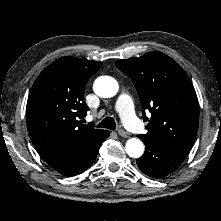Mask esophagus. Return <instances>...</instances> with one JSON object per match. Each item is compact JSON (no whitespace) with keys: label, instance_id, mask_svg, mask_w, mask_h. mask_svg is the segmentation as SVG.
Here are the masks:
<instances>
[{"label":"esophagus","instance_id":"obj_1","mask_svg":"<svg viewBox=\"0 0 221 221\" xmlns=\"http://www.w3.org/2000/svg\"><path fill=\"white\" fill-rule=\"evenodd\" d=\"M118 134H119L121 137H123V138H127V137H128V133H127L125 130H123V129H119V130H118Z\"/></svg>","mask_w":221,"mask_h":221}]
</instances>
